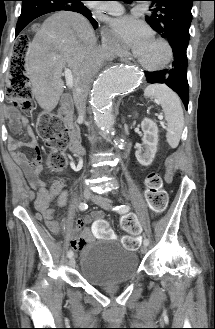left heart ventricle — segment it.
<instances>
[{"label": "left heart ventricle", "mask_w": 215, "mask_h": 329, "mask_svg": "<svg viewBox=\"0 0 215 329\" xmlns=\"http://www.w3.org/2000/svg\"><path fill=\"white\" fill-rule=\"evenodd\" d=\"M138 58L148 65H158L165 58L164 48L152 40L148 46L137 53Z\"/></svg>", "instance_id": "b2bd125f"}]
</instances>
